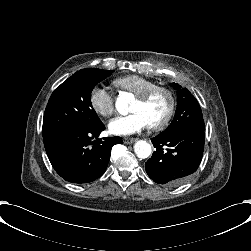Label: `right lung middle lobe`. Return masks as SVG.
<instances>
[{
    "mask_svg": "<svg viewBox=\"0 0 251 251\" xmlns=\"http://www.w3.org/2000/svg\"><path fill=\"white\" fill-rule=\"evenodd\" d=\"M114 70L86 68L74 73L52 93L43 118L42 134L69 127L96 128L103 123L92 107L91 92L95 85Z\"/></svg>",
    "mask_w": 251,
    "mask_h": 251,
    "instance_id": "right-lung-middle-lobe-1",
    "label": "right lung middle lobe"
}]
</instances>
